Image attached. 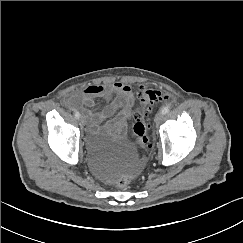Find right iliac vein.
I'll list each match as a JSON object with an SVG mask.
<instances>
[{"mask_svg": "<svg viewBox=\"0 0 243 243\" xmlns=\"http://www.w3.org/2000/svg\"><path fill=\"white\" fill-rule=\"evenodd\" d=\"M79 121H80V125H81V126H84V125H85V119H84L83 117H81V118L79 119Z\"/></svg>", "mask_w": 243, "mask_h": 243, "instance_id": "1", "label": "right iliac vein"}]
</instances>
